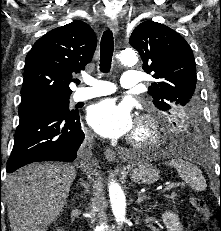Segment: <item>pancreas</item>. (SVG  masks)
<instances>
[{"label": "pancreas", "mask_w": 221, "mask_h": 231, "mask_svg": "<svg viewBox=\"0 0 221 231\" xmlns=\"http://www.w3.org/2000/svg\"><path fill=\"white\" fill-rule=\"evenodd\" d=\"M176 197H177V194L174 193V192H173L172 194H170V195L167 196V198H168V199H171L173 202H174V200L176 199Z\"/></svg>", "instance_id": "cf45deb5"}]
</instances>
